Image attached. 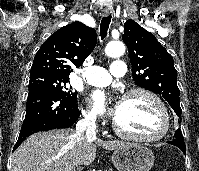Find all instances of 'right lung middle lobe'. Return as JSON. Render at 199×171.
Segmentation results:
<instances>
[{
    "mask_svg": "<svg viewBox=\"0 0 199 171\" xmlns=\"http://www.w3.org/2000/svg\"><path fill=\"white\" fill-rule=\"evenodd\" d=\"M68 81L69 78H62L48 74L30 76L29 91L35 88H49L63 96L65 99L76 103L77 94L71 92V90L66 87Z\"/></svg>",
    "mask_w": 199,
    "mask_h": 171,
    "instance_id": "right-lung-middle-lobe-1",
    "label": "right lung middle lobe"
}]
</instances>
